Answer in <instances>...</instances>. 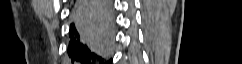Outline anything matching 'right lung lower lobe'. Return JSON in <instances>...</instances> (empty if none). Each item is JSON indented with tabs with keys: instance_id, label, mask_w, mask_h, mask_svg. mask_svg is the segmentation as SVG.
Instances as JSON below:
<instances>
[{
	"instance_id": "1",
	"label": "right lung lower lobe",
	"mask_w": 242,
	"mask_h": 64,
	"mask_svg": "<svg viewBox=\"0 0 242 64\" xmlns=\"http://www.w3.org/2000/svg\"><path fill=\"white\" fill-rule=\"evenodd\" d=\"M68 55L71 64H106L114 36L111 0H77L72 10Z\"/></svg>"
}]
</instances>
